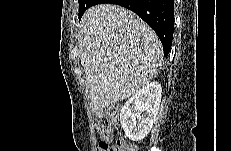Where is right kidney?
Here are the masks:
<instances>
[{"label":"right kidney","mask_w":231,"mask_h":151,"mask_svg":"<svg viewBox=\"0 0 231 151\" xmlns=\"http://www.w3.org/2000/svg\"><path fill=\"white\" fill-rule=\"evenodd\" d=\"M161 93L160 83L153 81L128 99L122 107L120 122L130 140L140 141L151 130L160 107Z\"/></svg>","instance_id":"obj_1"}]
</instances>
